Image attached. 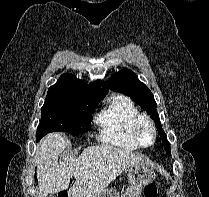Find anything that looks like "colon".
<instances>
[{"instance_id": "1", "label": "colon", "mask_w": 209, "mask_h": 197, "mask_svg": "<svg viewBox=\"0 0 209 197\" xmlns=\"http://www.w3.org/2000/svg\"><path fill=\"white\" fill-rule=\"evenodd\" d=\"M58 197H68L65 193H60ZM144 197H158V189L155 183H150L144 188Z\"/></svg>"}]
</instances>
